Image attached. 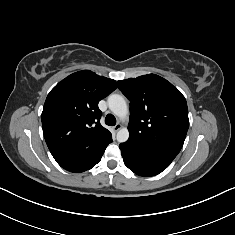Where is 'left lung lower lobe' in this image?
Returning a JSON list of instances; mask_svg holds the SVG:
<instances>
[{
  "instance_id": "1",
  "label": "left lung lower lobe",
  "mask_w": 235,
  "mask_h": 235,
  "mask_svg": "<svg viewBox=\"0 0 235 235\" xmlns=\"http://www.w3.org/2000/svg\"><path fill=\"white\" fill-rule=\"evenodd\" d=\"M122 157L125 165L134 173L149 177L161 173L173 160L137 147L128 141L121 143Z\"/></svg>"
}]
</instances>
